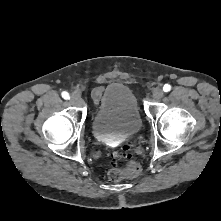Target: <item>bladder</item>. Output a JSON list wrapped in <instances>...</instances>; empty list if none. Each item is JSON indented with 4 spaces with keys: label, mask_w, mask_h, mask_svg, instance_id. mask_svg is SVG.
I'll return each mask as SVG.
<instances>
[{
    "label": "bladder",
    "mask_w": 221,
    "mask_h": 221,
    "mask_svg": "<svg viewBox=\"0 0 221 221\" xmlns=\"http://www.w3.org/2000/svg\"><path fill=\"white\" fill-rule=\"evenodd\" d=\"M141 128L142 118L132 89L119 82L108 84L92 119L94 137L107 142L113 137L136 135Z\"/></svg>",
    "instance_id": "bladder-1"
}]
</instances>
